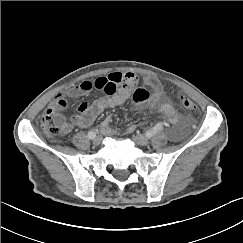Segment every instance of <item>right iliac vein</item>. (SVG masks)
Here are the masks:
<instances>
[{
    "label": "right iliac vein",
    "instance_id": "63e3f726",
    "mask_svg": "<svg viewBox=\"0 0 243 243\" xmlns=\"http://www.w3.org/2000/svg\"><path fill=\"white\" fill-rule=\"evenodd\" d=\"M101 137L100 136H97L95 138H93L92 142L94 145H99L101 143Z\"/></svg>",
    "mask_w": 243,
    "mask_h": 243
}]
</instances>
